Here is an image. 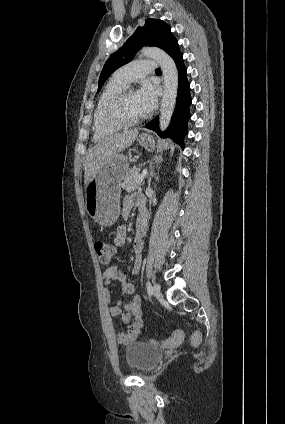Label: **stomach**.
Instances as JSON below:
<instances>
[{"label": "stomach", "mask_w": 285, "mask_h": 424, "mask_svg": "<svg viewBox=\"0 0 285 424\" xmlns=\"http://www.w3.org/2000/svg\"><path fill=\"white\" fill-rule=\"evenodd\" d=\"M138 142L148 151L156 148L152 135L141 134ZM168 142L163 147L167 148ZM130 171L128 157L118 154L103 165L99 173L85 185V208L89 216L101 226L113 225L120 214L121 182Z\"/></svg>", "instance_id": "stomach-1"}]
</instances>
